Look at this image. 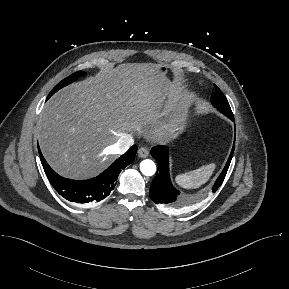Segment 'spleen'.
I'll return each mask as SVG.
<instances>
[{"instance_id": "3e777b00", "label": "spleen", "mask_w": 289, "mask_h": 289, "mask_svg": "<svg viewBox=\"0 0 289 289\" xmlns=\"http://www.w3.org/2000/svg\"><path fill=\"white\" fill-rule=\"evenodd\" d=\"M216 168L215 163L204 165L199 169L183 173L175 178V182L182 188L193 189L198 188L206 183Z\"/></svg>"}]
</instances>
